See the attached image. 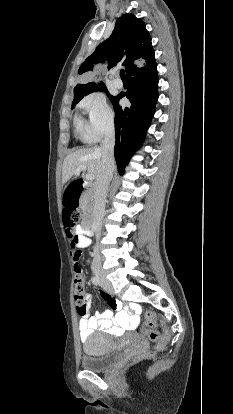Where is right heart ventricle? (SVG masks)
Instances as JSON below:
<instances>
[{
    "label": "right heart ventricle",
    "instance_id": "e07e8e85",
    "mask_svg": "<svg viewBox=\"0 0 233 414\" xmlns=\"http://www.w3.org/2000/svg\"><path fill=\"white\" fill-rule=\"evenodd\" d=\"M75 127H76L77 132L82 136L85 130V125L83 124L81 119L78 117L75 119Z\"/></svg>",
    "mask_w": 233,
    "mask_h": 414
}]
</instances>
